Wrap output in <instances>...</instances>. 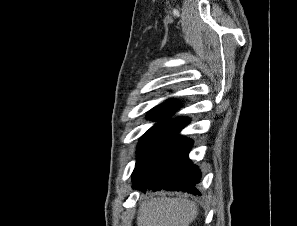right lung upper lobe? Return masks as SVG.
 Here are the masks:
<instances>
[{
	"mask_svg": "<svg viewBox=\"0 0 297 226\" xmlns=\"http://www.w3.org/2000/svg\"><path fill=\"white\" fill-rule=\"evenodd\" d=\"M180 107L181 105L177 101L168 102L160 107L153 108L149 112L148 118L152 120L167 121Z\"/></svg>",
	"mask_w": 297,
	"mask_h": 226,
	"instance_id": "cb5924a9",
	"label": "right lung upper lobe"
}]
</instances>
